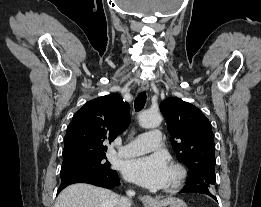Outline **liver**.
Listing matches in <instances>:
<instances>
[{"instance_id":"liver-1","label":"liver","mask_w":261,"mask_h":207,"mask_svg":"<svg viewBox=\"0 0 261 207\" xmlns=\"http://www.w3.org/2000/svg\"><path fill=\"white\" fill-rule=\"evenodd\" d=\"M119 199L110 190L77 183L62 190L54 207H118Z\"/></svg>"}]
</instances>
